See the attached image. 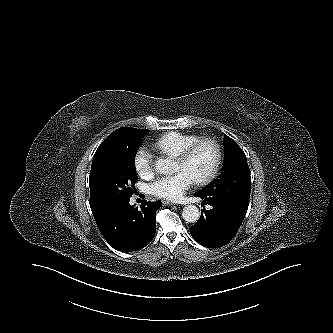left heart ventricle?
<instances>
[{
	"label": "left heart ventricle",
	"instance_id": "left-heart-ventricle-1",
	"mask_svg": "<svg viewBox=\"0 0 333 333\" xmlns=\"http://www.w3.org/2000/svg\"><path fill=\"white\" fill-rule=\"evenodd\" d=\"M214 162L215 150L212 145L205 143L196 150L189 161L185 163L176 161L175 171H185L195 181L207 176L211 171Z\"/></svg>",
	"mask_w": 333,
	"mask_h": 333
}]
</instances>
